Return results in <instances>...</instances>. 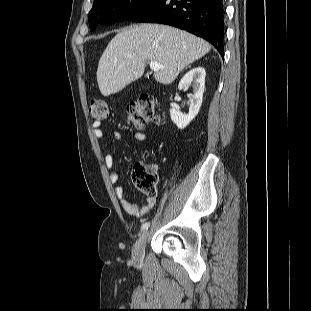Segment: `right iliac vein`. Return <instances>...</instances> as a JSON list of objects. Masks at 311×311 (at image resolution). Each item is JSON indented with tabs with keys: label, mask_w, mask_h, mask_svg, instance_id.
I'll return each instance as SVG.
<instances>
[{
	"label": "right iliac vein",
	"mask_w": 311,
	"mask_h": 311,
	"mask_svg": "<svg viewBox=\"0 0 311 311\" xmlns=\"http://www.w3.org/2000/svg\"><path fill=\"white\" fill-rule=\"evenodd\" d=\"M148 238V231H144L133 247V260L136 264H140L144 258V249Z\"/></svg>",
	"instance_id": "obj_1"
}]
</instances>
